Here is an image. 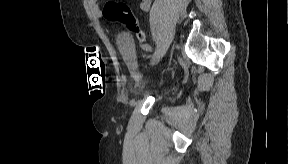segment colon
<instances>
[{
    "instance_id": "1",
    "label": "colon",
    "mask_w": 288,
    "mask_h": 164,
    "mask_svg": "<svg viewBox=\"0 0 288 164\" xmlns=\"http://www.w3.org/2000/svg\"><path fill=\"white\" fill-rule=\"evenodd\" d=\"M104 15L111 22L122 23L135 35L139 42H146L147 36L136 21V16L128 5L120 0H111L104 7Z\"/></svg>"
}]
</instances>
